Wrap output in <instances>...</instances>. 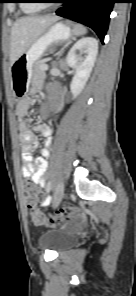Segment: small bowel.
Returning <instances> with one entry per match:
<instances>
[{
	"mask_svg": "<svg viewBox=\"0 0 136 296\" xmlns=\"http://www.w3.org/2000/svg\"><path fill=\"white\" fill-rule=\"evenodd\" d=\"M30 109V101L28 99L21 100L16 108V115L18 117L19 135L22 144V159L23 167L22 173L26 178H30L34 183L40 187H45V172L47 169L46 157L49 155V148L52 144V126L40 123L34 126V131L41 133L46 137L45 147L42 150V155L33 158L32 154L37 147V137L34 132L29 128L25 119ZM51 201L50 197L45 198L44 205L48 206Z\"/></svg>",
	"mask_w": 136,
	"mask_h": 296,
	"instance_id": "obj_1",
	"label": "small bowel"
}]
</instances>
